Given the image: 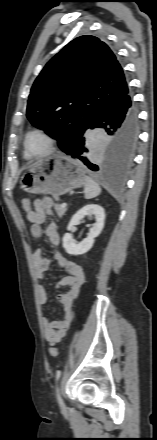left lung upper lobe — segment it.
<instances>
[{
  "label": "left lung upper lobe",
  "mask_w": 157,
  "mask_h": 440,
  "mask_svg": "<svg viewBox=\"0 0 157 440\" xmlns=\"http://www.w3.org/2000/svg\"><path fill=\"white\" fill-rule=\"evenodd\" d=\"M116 56L99 38L84 35L68 43L36 78L27 118L68 152L105 105L128 91Z\"/></svg>",
  "instance_id": "left-lung-upper-lobe-1"
}]
</instances>
